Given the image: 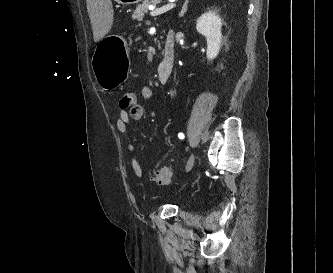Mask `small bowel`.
<instances>
[{
    "instance_id": "1",
    "label": "small bowel",
    "mask_w": 333,
    "mask_h": 273,
    "mask_svg": "<svg viewBox=\"0 0 333 273\" xmlns=\"http://www.w3.org/2000/svg\"><path fill=\"white\" fill-rule=\"evenodd\" d=\"M140 94L144 100H149L153 96V91L149 86H143L141 88ZM143 116H144L143 106L138 102H135L133 104L132 109L119 110L118 116L115 121V127L120 133L126 134L127 124L131 121H139L143 118ZM126 147L129 152V164L134 175L138 178L143 177L144 171L138 159L136 158L133 144L128 142L126 144Z\"/></svg>"
}]
</instances>
